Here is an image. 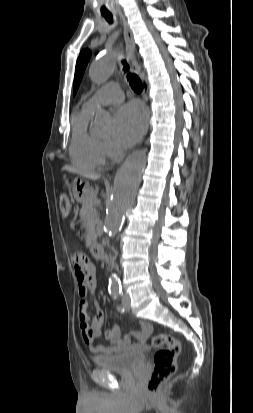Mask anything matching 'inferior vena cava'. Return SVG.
Returning <instances> with one entry per match:
<instances>
[{
    "label": "inferior vena cava",
    "mask_w": 253,
    "mask_h": 413,
    "mask_svg": "<svg viewBox=\"0 0 253 413\" xmlns=\"http://www.w3.org/2000/svg\"><path fill=\"white\" fill-rule=\"evenodd\" d=\"M109 257H110V265L114 268L115 267L114 257H112L111 255Z\"/></svg>",
    "instance_id": "inferior-vena-cava-1"
}]
</instances>
